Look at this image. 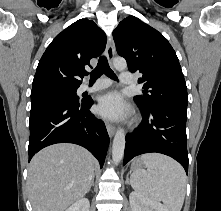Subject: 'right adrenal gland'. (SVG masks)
Listing matches in <instances>:
<instances>
[{
  "label": "right adrenal gland",
  "instance_id": "2a0ac1e0",
  "mask_svg": "<svg viewBox=\"0 0 221 211\" xmlns=\"http://www.w3.org/2000/svg\"><path fill=\"white\" fill-rule=\"evenodd\" d=\"M91 186H94V176L92 178L91 185H90V188H89L88 192L91 190Z\"/></svg>",
  "mask_w": 221,
  "mask_h": 211
}]
</instances>
